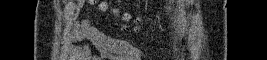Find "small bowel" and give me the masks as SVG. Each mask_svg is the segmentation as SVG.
I'll return each instance as SVG.
<instances>
[{"label": "small bowel", "mask_w": 267, "mask_h": 60, "mask_svg": "<svg viewBox=\"0 0 267 60\" xmlns=\"http://www.w3.org/2000/svg\"><path fill=\"white\" fill-rule=\"evenodd\" d=\"M69 40L77 41L80 39H88L93 44L100 45V44H107V45H116V44H125V42L110 37L106 34L99 32L94 24L88 20L83 19L78 21L74 24L73 29L70 31ZM86 51V50H85Z\"/></svg>", "instance_id": "obj_1"}]
</instances>
